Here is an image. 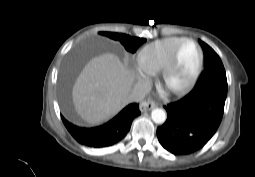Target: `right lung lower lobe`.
I'll return each instance as SVG.
<instances>
[{"mask_svg": "<svg viewBox=\"0 0 255 177\" xmlns=\"http://www.w3.org/2000/svg\"><path fill=\"white\" fill-rule=\"evenodd\" d=\"M137 103L129 104L117 116L104 125L95 128H81L68 122L62 117L67 130L80 144L103 148L109 147L123 139L130 130L132 121L139 116Z\"/></svg>", "mask_w": 255, "mask_h": 177, "instance_id": "98d812e1", "label": "right lung lower lobe"}]
</instances>
